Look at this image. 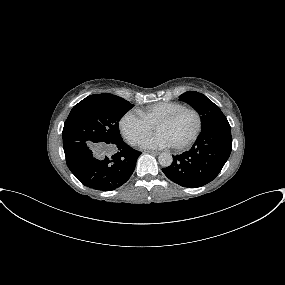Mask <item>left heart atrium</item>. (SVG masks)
Instances as JSON below:
<instances>
[{
    "instance_id": "obj_1",
    "label": "left heart atrium",
    "mask_w": 285,
    "mask_h": 285,
    "mask_svg": "<svg viewBox=\"0 0 285 285\" xmlns=\"http://www.w3.org/2000/svg\"><path fill=\"white\" fill-rule=\"evenodd\" d=\"M141 146L144 148H168L172 145L164 134L157 132L144 139L141 142Z\"/></svg>"
}]
</instances>
